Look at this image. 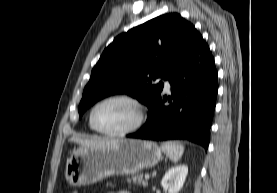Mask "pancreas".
Wrapping results in <instances>:
<instances>
[{
	"label": "pancreas",
	"mask_w": 277,
	"mask_h": 193,
	"mask_svg": "<svg viewBox=\"0 0 277 193\" xmlns=\"http://www.w3.org/2000/svg\"><path fill=\"white\" fill-rule=\"evenodd\" d=\"M127 181L128 182L132 181L133 183L138 184V185H142L143 187H146L148 185L147 180L143 179L142 174H137L135 176H132V178H128Z\"/></svg>",
	"instance_id": "obj_1"
}]
</instances>
